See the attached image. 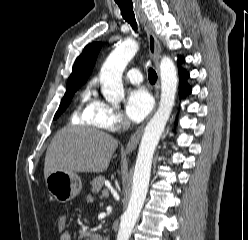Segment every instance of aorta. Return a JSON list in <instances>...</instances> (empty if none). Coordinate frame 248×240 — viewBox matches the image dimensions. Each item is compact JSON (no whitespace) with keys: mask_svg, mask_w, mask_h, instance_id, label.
I'll use <instances>...</instances> for the list:
<instances>
[{"mask_svg":"<svg viewBox=\"0 0 248 240\" xmlns=\"http://www.w3.org/2000/svg\"><path fill=\"white\" fill-rule=\"evenodd\" d=\"M138 49L135 41H125L111 52L101 67L102 94L113 105H118L124 99L122 74ZM160 79V104L144 129L133 175L132 193L121 217L117 240H129L139 217L149 187L153 155L174 106L178 77L176 67L169 57L165 56L161 60Z\"/></svg>","mask_w":248,"mask_h":240,"instance_id":"aorta-1","label":"aorta"}]
</instances>
